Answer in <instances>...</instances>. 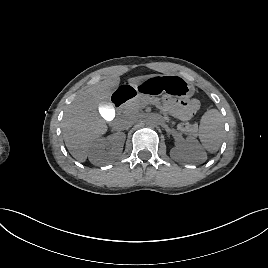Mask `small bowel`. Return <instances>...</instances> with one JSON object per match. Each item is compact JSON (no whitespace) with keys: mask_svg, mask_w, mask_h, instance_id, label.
<instances>
[{"mask_svg":"<svg viewBox=\"0 0 268 268\" xmlns=\"http://www.w3.org/2000/svg\"><path fill=\"white\" fill-rule=\"evenodd\" d=\"M166 106L170 113L181 121L190 120L199 108V104L195 99L187 101L167 100Z\"/></svg>","mask_w":268,"mask_h":268,"instance_id":"obj_1","label":"small bowel"}]
</instances>
